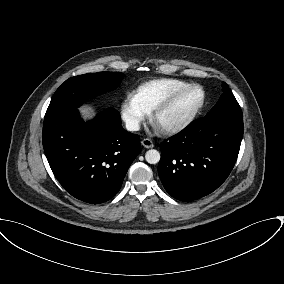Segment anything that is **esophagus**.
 I'll list each match as a JSON object with an SVG mask.
<instances>
[{"mask_svg": "<svg viewBox=\"0 0 284 284\" xmlns=\"http://www.w3.org/2000/svg\"><path fill=\"white\" fill-rule=\"evenodd\" d=\"M141 144L145 147V148H153L154 147V143L151 139L145 138L141 141Z\"/></svg>", "mask_w": 284, "mask_h": 284, "instance_id": "esophagus-1", "label": "esophagus"}]
</instances>
